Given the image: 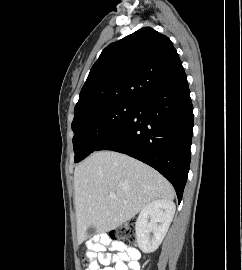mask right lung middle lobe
<instances>
[{
  "mask_svg": "<svg viewBox=\"0 0 242 270\" xmlns=\"http://www.w3.org/2000/svg\"><path fill=\"white\" fill-rule=\"evenodd\" d=\"M137 100H118L74 116L73 147L75 162L95 151L125 123Z\"/></svg>",
  "mask_w": 242,
  "mask_h": 270,
  "instance_id": "obj_1",
  "label": "right lung middle lobe"
}]
</instances>
